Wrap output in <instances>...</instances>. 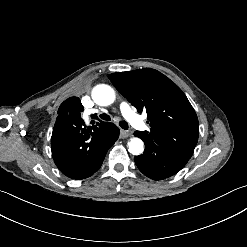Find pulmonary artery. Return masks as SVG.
I'll use <instances>...</instances> for the list:
<instances>
[{
    "label": "pulmonary artery",
    "mask_w": 247,
    "mask_h": 247,
    "mask_svg": "<svg viewBox=\"0 0 247 247\" xmlns=\"http://www.w3.org/2000/svg\"><path fill=\"white\" fill-rule=\"evenodd\" d=\"M119 107H120L121 114L123 115L124 118L129 120L132 124L136 125V127L144 128L146 118L143 117L141 119V122H142L141 123L140 120H138V116L134 112L130 103H128L127 101H121ZM97 112H104V111L102 110V111H97ZM91 114H93L92 111L86 112V123L87 124H89L90 122ZM147 129L149 128L147 127Z\"/></svg>",
    "instance_id": "obj_1"
}]
</instances>
